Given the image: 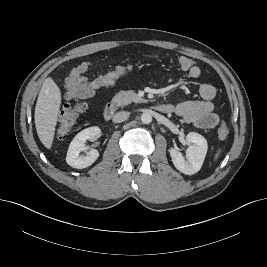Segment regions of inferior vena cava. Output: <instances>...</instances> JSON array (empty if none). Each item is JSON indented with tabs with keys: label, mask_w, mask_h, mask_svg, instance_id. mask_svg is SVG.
Masks as SVG:
<instances>
[{
	"label": "inferior vena cava",
	"mask_w": 267,
	"mask_h": 267,
	"mask_svg": "<svg viewBox=\"0 0 267 267\" xmlns=\"http://www.w3.org/2000/svg\"><path fill=\"white\" fill-rule=\"evenodd\" d=\"M128 117H129V112H126V111H120V112L116 113V114L113 116L112 121H113L114 123H121V122L125 121Z\"/></svg>",
	"instance_id": "602c4592"
}]
</instances>
